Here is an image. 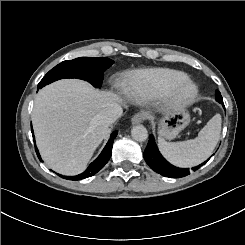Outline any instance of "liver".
<instances>
[{"mask_svg": "<svg viewBox=\"0 0 245 245\" xmlns=\"http://www.w3.org/2000/svg\"><path fill=\"white\" fill-rule=\"evenodd\" d=\"M122 99L85 81L62 79L36 95L31 114L36 144L46 164L63 175L82 173L110 133L99 114Z\"/></svg>", "mask_w": 245, "mask_h": 245, "instance_id": "1", "label": "liver"}]
</instances>
